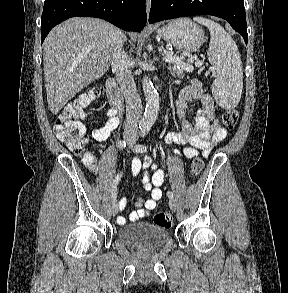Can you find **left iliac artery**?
Wrapping results in <instances>:
<instances>
[{
	"instance_id": "1",
	"label": "left iliac artery",
	"mask_w": 288,
	"mask_h": 293,
	"mask_svg": "<svg viewBox=\"0 0 288 293\" xmlns=\"http://www.w3.org/2000/svg\"><path fill=\"white\" fill-rule=\"evenodd\" d=\"M146 134H147V131L146 130H142V132H141V137H144V136H146ZM135 150H136V152H145L146 150H147V147H146V145H143V144H138L136 147H135ZM167 196L169 197V198H173V193L171 192V191H168L167 192Z\"/></svg>"
}]
</instances>
